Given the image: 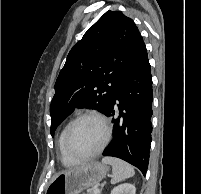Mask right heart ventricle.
I'll return each mask as SVG.
<instances>
[{
    "instance_id": "right-heart-ventricle-1",
    "label": "right heart ventricle",
    "mask_w": 201,
    "mask_h": 194,
    "mask_svg": "<svg viewBox=\"0 0 201 194\" xmlns=\"http://www.w3.org/2000/svg\"><path fill=\"white\" fill-rule=\"evenodd\" d=\"M67 126L68 124L63 127V129L61 130L58 136L57 147H58V152H59V156H60V160L62 164L64 166L70 167V166L76 165L78 161L71 159L64 151L63 140H64V134H65Z\"/></svg>"
}]
</instances>
